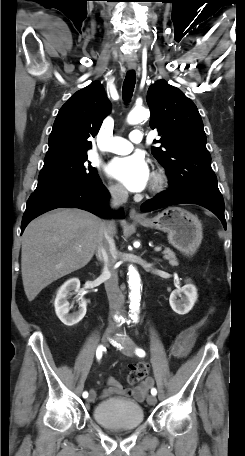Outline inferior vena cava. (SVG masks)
I'll list each match as a JSON object with an SVG mask.
<instances>
[{
    "label": "inferior vena cava",
    "instance_id": "602c4592",
    "mask_svg": "<svg viewBox=\"0 0 245 456\" xmlns=\"http://www.w3.org/2000/svg\"><path fill=\"white\" fill-rule=\"evenodd\" d=\"M111 195L110 207L118 209L128 199V191L121 185L111 187L109 189ZM112 222L103 221L97 242L96 257L99 261L104 263L102 276L105 277V289L109 300L110 308V326H116L112 320L113 316L118 314L124 305V296L120 292L118 286V272L115 267L117 258V250L112 235Z\"/></svg>",
    "mask_w": 245,
    "mask_h": 456
}]
</instances>
